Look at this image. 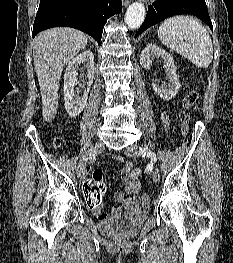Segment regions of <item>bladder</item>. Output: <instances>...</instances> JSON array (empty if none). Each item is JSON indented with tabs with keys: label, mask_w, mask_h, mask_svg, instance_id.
<instances>
[{
	"label": "bladder",
	"mask_w": 233,
	"mask_h": 263,
	"mask_svg": "<svg viewBox=\"0 0 233 263\" xmlns=\"http://www.w3.org/2000/svg\"><path fill=\"white\" fill-rule=\"evenodd\" d=\"M147 216L148 213L139 208L116 210L112 215L100 221L99 229L106 236L129 238L138 232Z\"/></svg>",
	"instance_id": "1"
}]
</instances>
